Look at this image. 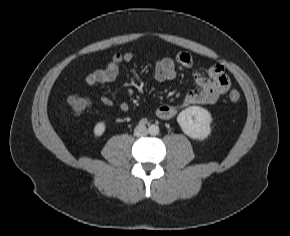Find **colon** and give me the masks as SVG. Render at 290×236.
<instances>
[{
	"instance_id": "colon-1",
	"label": "colon",
	"mask_w": 290,
	"mask_h": 236,
	"mask_svg": "<svg viewBox=\"0 0 290 236\" xmlns=\"http://www.w3.org/2000/svg\"><path fill=\"white\" fill-rule=\"evenodd\" d=\"M229 100L231 102H238L241 98V94L237 90H232L229 95ZM68 104L75 114H82L87 111L91 105L89 98L81 95H71L68 97Z\"/></svg>"
}]
</instances>
